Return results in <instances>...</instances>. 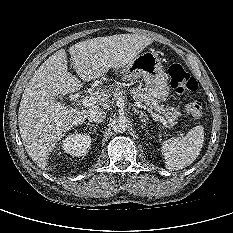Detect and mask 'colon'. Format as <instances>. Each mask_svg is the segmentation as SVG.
<instances>
[{"mask_svg": "<svg viewBox=\"0 0 233 233\" xmlns=\"http://www.w3.org/2000/svg\"><path fill=\"white\" fill-rule=\"evenodd\" d=\"M171 87L180 94L186 92H195L198 89V83L180 64H172L168 69ZM187 112L200 117L203 112V100L200 96H195L186 106Z\"/></svg>", "mask_w": 233, "mask_h": 233, "instance_id": "1", "label": "colon"}]
</instances>
